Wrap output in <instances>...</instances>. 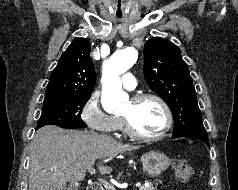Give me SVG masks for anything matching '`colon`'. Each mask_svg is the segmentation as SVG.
Returning a JSON list of instances; mask_svg holds the SVG:
<instances>
[{
    "mask_svg": "<svg viewBox=\"0 0 238 190\" xmlns=\"http://www.w3.org/2000/svg\"><path fill=\"white\" fill-rule=\"evenodd\" d=\"M173 169L176 178L182 183L188 182L194 174L193 166L183 159L176 160L173 163Z\"/></svg>",
    "mask_w": 238,
    "mask_h": 190,
    "instance_id": "obj_1",
    "label": "colon"
}]
</instances>
